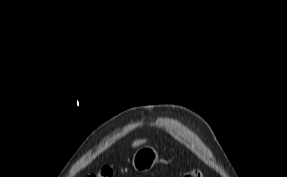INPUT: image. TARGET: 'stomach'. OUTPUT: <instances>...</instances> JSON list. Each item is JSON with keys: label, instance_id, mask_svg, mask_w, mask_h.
Wrapping results in <instances>:
<instances>
[{"label": "stomach", "instance_id": "obj_1", "mask_svg": "<svg viewBox=\"0 0 287 177\" xmlns=\"http://www.w3.org/2000/svg\"><path fill=\"white\" fill-rule=\"evenodd\" d=\"M158 157V152L153 147H141L133 155L132 166L137 172H147L158 162Z\"/></svg>", "mask_w": 287, "mask_h": 177}]
</instances>
